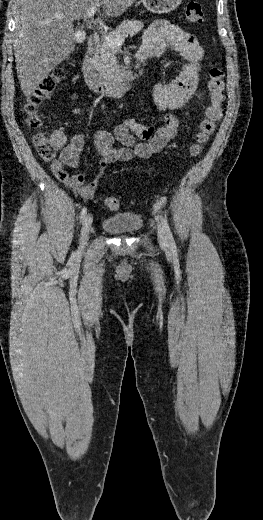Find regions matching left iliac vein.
Here are the masks:
<instances>
[{
    "instance_id": "left-iliac-vein-1",
    "label": "left iliac vein",
    "mask_w": 263,
    "mask_h": 520,
    "mask_svg": "<svg viewBox=\"0 0 263 520\" xmlns=\"http://www.w3.org/2000/svg\"><path fill=\"white\" fill-rule=\"evenodd\" d=\"M158 240L162 246H168L169 244L167 233L161 224H158Z\"/></svg>"
}]
</instances>
